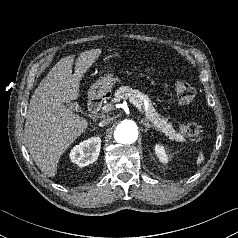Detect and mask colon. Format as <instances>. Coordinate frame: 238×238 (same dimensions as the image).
Instances as JSON below:
<instances>
[{
	"mask_svg": "<svg viewBox=\"0 0 238 238\" xmlns=\"http://www.w3.org/2000/svg\"><path fill=\"white\" fill-rule=\"evenodd\" d=\"M175 95L181 105H187L195 99L196 91L191 85L180 81L175 84ZM180 130L191 140L200 141L203 137V128L197 123L181 122Z\"/></svg>",
	"mask_w": 238,
	"mask_h": 238,
	"instance_id": "5ec220e1",
	"label": "colon"
}]
</instances>
